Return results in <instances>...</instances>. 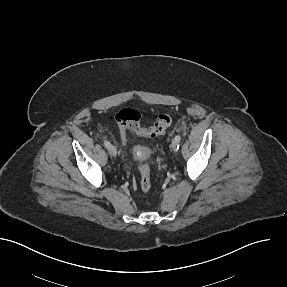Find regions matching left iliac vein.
Masks as SVG:
<instances>
[{
  "label": "left iliac vein",
  "mask_w": 287,
  "mask_h": 287,
  "mask_svg": "<svg viewBox=\"0 0 287 287\" xmlns=\"http://www.w3.org/2000/svg\"><path fill=\"white\" fill-rule=\"evenodd\" d=\"M171 147H172L173 151H175V152L178 150V143L175 139H173Z\"/></svg>",
  "instance_id": "1"
}]
</instances>
